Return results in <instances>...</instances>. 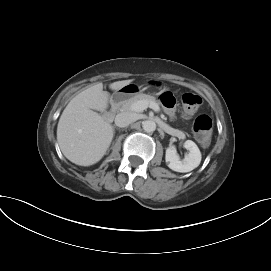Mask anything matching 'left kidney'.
I'll return each mask as SVG.
<instances>
[{
  "label": "left kidney",
  "instance_id": "obj_1",
  "mask_svg": "<svg viewBox=\"0 0 271 271\" xmlns=\"http://www.w3.org/2000/svg\"><path fill=\"white\" fill-rule=\"evenodd\" d=\"M184 147L189 151V153L185 155L183 160H180L174 146H170L166 149L165 160L168 167L173 171L181 173L189 172L198 167L201 162V152L193 141H185Z\"/></svg>",
  "mask_w": 271,
  "mask_h": 271
}]
</instances>
